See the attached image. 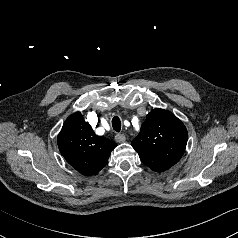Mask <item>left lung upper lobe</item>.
<instances>
[{"label":"left lung upper lobe","instance_id":"1","mask_svg":"<svg viewBox=\"0 0 238 238\" xmlns=\"http://www.w3.org/2000/svg\"><path fill=\"white\" fill-rule=\"evenodd\" d=\"M187 138L184 124L173 113L157 108L146 116L131 145L146 166L163 172L181 159Z\"/></svg>","mask_w":238,"mask_h":238}]
</instances>
